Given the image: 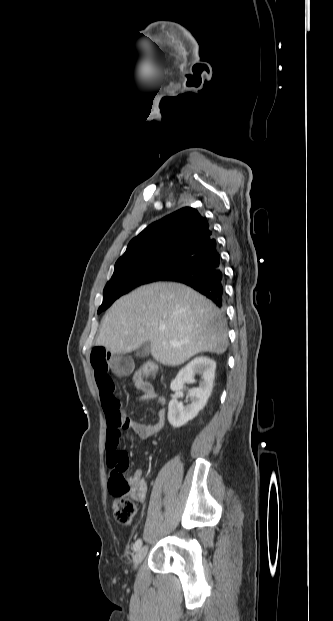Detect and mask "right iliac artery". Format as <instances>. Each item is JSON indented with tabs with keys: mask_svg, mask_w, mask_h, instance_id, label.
<instances>
[{
	"mask_svg": "<svg viewBox=\"0 0 333 621\" xmlns=\"http://www.w3.org/2000/svg\"><path fill=\"white\" fill-rule=\"evenodd\" d=\"M141 545H142V541H141V539H138L135 542V544H134V547H133L134 551H138L140 549Z\"/></svg>",
	"mask_w": 333,
	"mask_h": 621,
	"instance_id": "82829eb1",
	"label": "right iliac artery"
}]
</instances>
